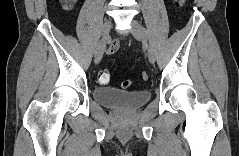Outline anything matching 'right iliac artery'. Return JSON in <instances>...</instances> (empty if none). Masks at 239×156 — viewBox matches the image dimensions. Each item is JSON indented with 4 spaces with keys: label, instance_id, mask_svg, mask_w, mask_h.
Here are the masks:
<instances>
[{
    "label": "right iliac artery",
    "instance_id": "82829eb1",
    "mask_svg": "<svg viewBox=\"0 0 239 156\" xmlns=\"http://www.w3.org/2000/svg\"><path fill=\"white\" fill-rule=\"evenodd\" d=\"M102 46V40L98 43L97 47H96V50H95V54L99 51V49L101 48Z\"/></svg>",
    "mask_w": 239,
    "mask_h": 156
}]
</instances>
